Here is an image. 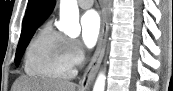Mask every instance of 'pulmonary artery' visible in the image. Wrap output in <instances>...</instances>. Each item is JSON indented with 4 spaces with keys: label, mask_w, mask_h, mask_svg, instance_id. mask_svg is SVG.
<instances>
[{
    "label": "pulmonary artery",
    "mask_w": 173,
    "mask_h": 91,
    "mask_svg": "<svg viewBox=\"0 0 173 91\" xmlns=\"http://www.w3.org/2000/svg\"><path fill=\"white\" fill-rule=\"evenodd\" d=\"M93 3H94L93 0H79L78 1V5L83 9L90 8L93 5Z\"/></svg>",
    "instance_id": "e3ab8cb5"
}]
</instances>
